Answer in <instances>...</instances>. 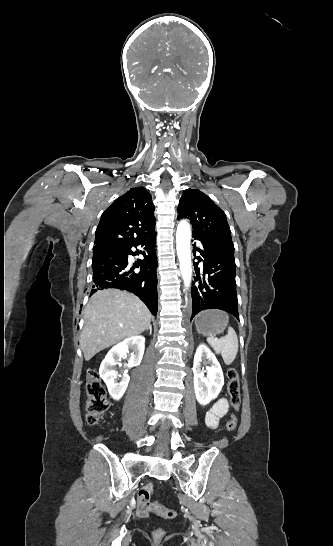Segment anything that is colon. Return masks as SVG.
<instances>
[{"label":"colon","mask_w":333,"mask_h":546,"mask_svg":"<svg viewBox=\"0 0 333 546\" xmlns=\"http://www.w3.org/2000/svg\"><path fill=\"white\" fill-rule=\"evenodd\" d=\"M228 379L227 392L232 408L237 411L241 404L240 382L238 372L234 368H229L226 372ZM87 403H86V420L89 425H95L99 422L105 412L108 410L110 402L107 398L106 388L103 385L98 372L94 369L88 373L87 381ZM237 419L232 416L226 423L228 431L235 430ZM154 512L164 519H174L177 516V511L163 507L159 502L155 501L152 504ZM155 537L160 539L164 532L158 529L154 533Z\"/></svg>","instance_id":"colon-1"}]
</instances>
